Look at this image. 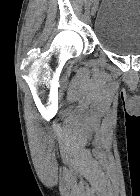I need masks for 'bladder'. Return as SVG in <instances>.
Instances as JSON below:
<instances>
[{
	"mask_svg": "<svg viewBox=\"0 0 140 196\" xmlns=\"http://www.w3.org/2000/svg\"><path fill=\"white\" fill-rule=\"evenodd\" d=\"M94 33L99 45L110 53L140 55V0H104Z\"/></svg>",
	"mask_w": 140,
	"mask_h": 196,
	"instance_id": "31cf9c89",
	"label": "bladder"
}]
</instances>
